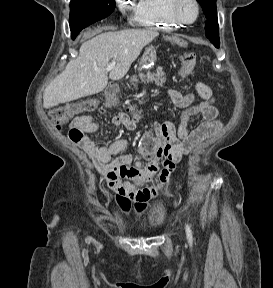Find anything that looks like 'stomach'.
I'll use <instances>...</instances> for the list:
<instances>
[{
  "mask_svg": "<svg viewBox=\"0 0 273 288\" xmlns=\"http://www.w3.org/2000/svg\"><path fill=\"white\" fill-rule=\"evenodd\" d=\"M156 59L157 55L155 48L153 46H149L145 49L139 65L142 69H151L156 62Z\"/></svg>",
  "mask_w": 273,
  "mask_h": 288,
  "instance_id": "stomach-1",
  "label": "stomach"
}]
</instances>
